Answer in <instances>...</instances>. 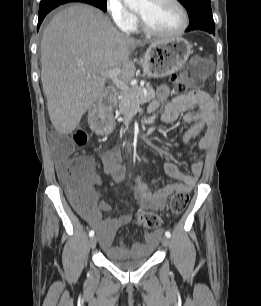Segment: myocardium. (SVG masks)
Listing matches in <instances>:
<instances>
[{"label":"myocardium","instance_id":"obj_1","mask_svg":"<svg viewBox=\"0 0 261 306\" xmlns=\"http://www.w3.org/2000/svg\"><path fill=\"white\" fill-rule=\"evenodd\" d=\"M169 1L172 2L180 11V14H181L180 26L172 32H161V31H158L152 28L147 23V21L139 13L136 12V18H137L138 25L144 33L151 35V36H156V37L170 38V37L179 36L186 31V29L189 26V13L185 5L180 0H169Z\"/></svg>","mask_w":261,"mask_h":306}]
</instances>
